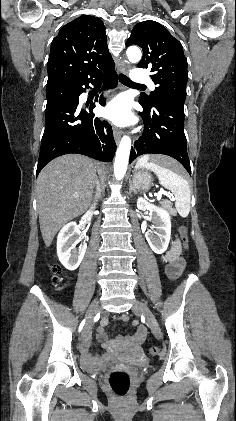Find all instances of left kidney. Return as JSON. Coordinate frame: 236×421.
I'll return each mask as SVG.
<instances>
[{
	"label": "left kidney",
	"mask_w": 236,
	"mask_h": 421,
	"mask_svg": "<svg viewBox=\"0 0 236 421\" xmlns=\"http://www.w3.org/2000/svg\"><path fill=\"white\" fill-rule=\"evenodd\" d=\"M137 208H139V211H149V221L152 223V229H156V231H147L145 237L152 251L157 253V255H162V253H165L171 237L169 213L164 211V208H159L152 202H148L142 196L137 198Z\"/></svg>",
	"instance_id": "5707ae66"
}]
</instances>
